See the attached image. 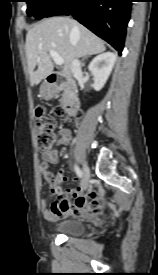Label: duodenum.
<instances>
[{
    "label": "duodenum",
    "mask_w": 158,
    "mask_h": 275,
    "mask_svg": "<svg viewBox=\"0 0 158 275\" xmlns=\"http://www.w3.org/2000/svg\"><path fill=\"white\" fill-rule=\"evenodd\" d=\"M46 93L53 97L60 88H65V111L69 117H73L78 112L80 101L77 86L72 82H67L61 72H51L47 75Z\"/></svg>",
    "instance_id": "1"
}]
</instances>
